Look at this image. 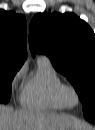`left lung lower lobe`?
Segmentation results:
<instances>
[{
    "instance_id": "1",
    "label": "left lung lower lobe",
    "mask_w": 95,
    "mask_h": 130,
    "mask_svg": "<svg viewBox=\"0 0 95 130\" xmlns=\"http://www.w3.org/2000/svg\"><path fill=\"white\" fill-rule=\"evenodd\" d=\"M90 122H92V123H95V120H89Z\"/></svg>"
}]
</instances>
